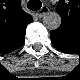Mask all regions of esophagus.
Masks as SVG:
<instances>
[{"mask_svg": "<svg viewBox=\"0 0 80 80\" xmlns=\"http://www.w3.org/2000/svg\"><path fill=\"white\" fill-rule=\"evenodd\" d=\"M42 9H43V8H42ZM42 9H41L40 12L38 13V16H40V17H43V16L47 13V11H46V12H43ZM41 11H42V12H41Z\"/></svg>", "mask_w": 80, "mask_h": 80, "instance_id": "1", "label": "esophagus"}]
</instances>
